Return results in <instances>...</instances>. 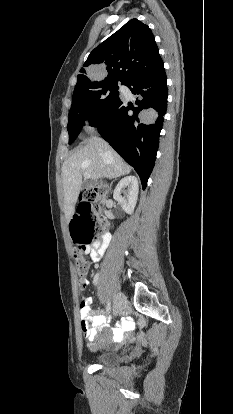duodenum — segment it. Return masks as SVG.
<instances>
[{
	"label": "duodenum",
	"instance_id": "duodenum-1",
	"mask_svg": "<svg viewBox=\"0 0 233 414\" xmlns=\"http://www.w3.org/2000/svg\"><path fill=\"white\" fill-rule=\"evenodd\" d=\"M83 190L85 191L86 189L84 188ZM87 203L94 204L95 203V198L94 197L87 198L85 196H82L80 198V201H78V206H83V204H87Z\"/></svg>",
	"mask_w": 233,
	"mask_h": 414
}]
</instances>
